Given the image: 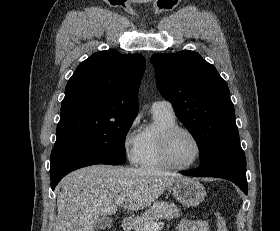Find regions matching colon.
<instances>
[{
  "instance_id": "colon-1",
  "label": "colon",
  "mask_w": 280,
  "mask_h": 231,
  "mask_svg": "<svg viewBox=\"0 0 280 231\" xmlns=\"http://www.w3.org/2000/svg\"><path fill=\"white\" fill-rule=\"evenodd\" d=\"M215 218L217 220V231H228L226 221L219 212H215Z\"/></svg>"
}]
</instances>
